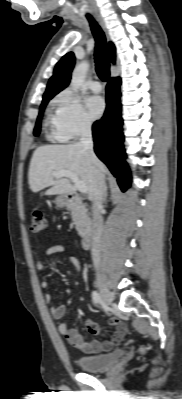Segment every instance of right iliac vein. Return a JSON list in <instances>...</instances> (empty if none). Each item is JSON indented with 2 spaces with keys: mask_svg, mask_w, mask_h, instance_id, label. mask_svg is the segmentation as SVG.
<instances>
[{
  "mask_svg": "<svg viewBox=\"0 0 182 399\" xmlns=\"http://www.w3.org/2000/svg\"><path fill=\"white\" fill-rule=\"evenodd\" d=\"M97 285L99 286L100 293H101V298L103 303L107 306L110 307L112 305V295L107 288L106 284L103 282L102 278L99 276L97 277Z\"/></svg>",
  "mask_w": 182,
  "mask_h": 399,
  "instance_id": "right-iliac-vein-1",
  "label": "right iliac vein"
}]
</instances>
